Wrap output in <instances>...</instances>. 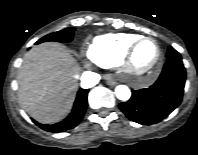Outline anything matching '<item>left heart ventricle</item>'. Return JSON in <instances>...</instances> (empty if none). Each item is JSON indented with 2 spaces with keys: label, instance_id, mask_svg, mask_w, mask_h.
<instances>
[{
  "label": "left heart ventricle",
  "instance_id": "1",
  "mask_svg": "<svg viewBox=\"0 0 198 155\" xmlns=\"http://www.w3.org/2000/svg\"><path fill=\"white\" fill-rule=\"evenodd\" d=\"M157 55V47L152 41L141 43L136 49L134 55V65L138 69L148 68L155 60Z\"/></svg>",
  "mask_w": 198,
  "mask_h": 155
}]
</instances>
